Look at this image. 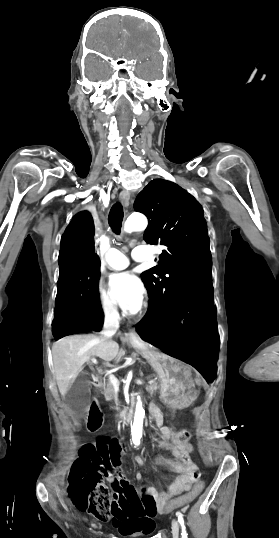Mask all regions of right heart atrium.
<instances>
[{"instance_id": "obj_1", "label": "right heart atrium", "mask_w": 279, "mask_h": 538, "mask_svg": "<svg viewBox=\"0 0 279 538\" xmlns=\"http://www.w3.org/2000/svg\"><path fill=\"white\" fill-rule=\"evenodd\" d=\"M94 226H98L94 223ZM97 309L100 316L108 321L115 319L119 315L118 306L111 294L105 289L100 287L97 293Z\"/></svg>"}]
</instances>
